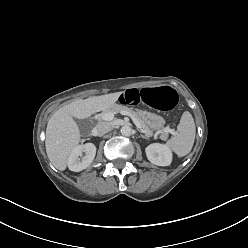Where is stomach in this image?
<instances>
[{
    "label": "stomach",
    "mask_w": 248,
    "mask_h": 248,
    "mask_svg": "<svg viewBox=\"0 0 248 248\" xmlns=\"http://www.w3.org/2000/svg\"><path fill=\"white\" fill-rule=\"evenodd\" d=\"M138 115L152 130H159L164 126V119L157 114L141 110Z\"/></svg>",
    "instance_id": "0dacf381"
}]
</instances>
